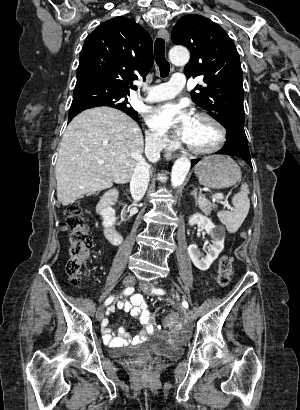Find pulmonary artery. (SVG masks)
I'll use <instances>...</instances> for the list:
<instances>
[{
    "mask_svg": "<svg viewBox=\"0 0 300 410\" xmlns=\"http://www.w3.org/2000/svg\"><path fill=\"white\" fill-rule=\"evenodd\" d=\"M185 83L186 79L184 74L175 73L168 83L149 87L146 100L150 102H159L173 98L182 90Z\"/></svg>",
    "mask_w": 300,
    "mask_h": 410,
    "instance_id": "obj_1",
    "label": "pulmonary artery"
}]
</instances>
